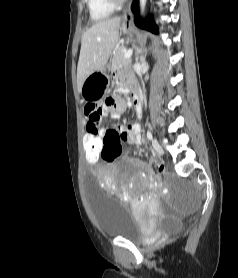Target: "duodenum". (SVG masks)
I'll list each match as a JSON object with an SVG mask.
<instances>
[{
	"label": "duodenum",
	"mask_w": 238,
	"mask_h": 278,
	"mask_svg": "<svg viewBox=\"0 0 238 278\" xmlns=\"http://www.w3.org/2000/svg\"><path fill=\"white\" fill-rule=\"evenodd\" d=\"M132 98H133V104H134V108H135L136 112L141 113V100H140V95L137 90L133 91Z\"/></svg>",
	"instance_id": "obj_1"
}]
</instances>
